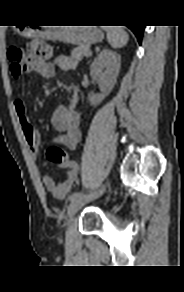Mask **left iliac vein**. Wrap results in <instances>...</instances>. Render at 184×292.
<instances>
[{
	"label": "left iliac vein",
	"mask_w": 184,
	"mask_h": 292,
	"mask_svg": "<svg viewBox=\"0 0 184 292\" xmlns=\"http://www.w3.org/2000/svg\"><path fill=\"white\" fill-rule=\"evenodd\" d=\"M106 191V186L102 187L99 191L91 195L90 197L82 198L81 200L72 201L68 206V217L72 218L83 206L84 204L90 202L91 200L101 197Z\"/></svg>",
	"instance_id": "left-iliac-vein-1"
}]
</instances>
